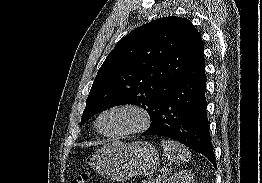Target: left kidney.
I'll use <instances>...</instances> for the list:
<instances>
[{
  "label": "left kidney",
  "instance_id": "obj_1",
  "mask_svg": "<svg viewBox=\"0 0 262 183\" xmlns=\"http://www.w3.org/2000/svg\"><path fill=\"white\" fill-rule=\"evenodd\" d=\"M165 183H194L191 170H181L173 174Z\"/></svg>",
  "mask_w": 262,
  "mask_h": 183
}]
</instances>
